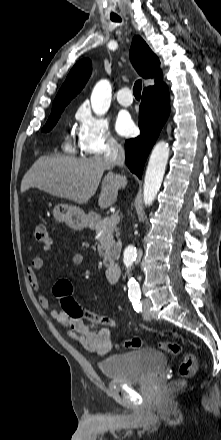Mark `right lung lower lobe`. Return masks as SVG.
<instances>
[{
  "label": "right lung lower lobe",
  "instance_id": "98d812e1",
  "mask_svg": "<svg viewBox=\"0 0 221 440\" xmlns=\"http://www.w3.org/2000/svg\"><path fill=\"white\" fill-rule=\"evenodd\" d=\"M169 115L168 90L165 84L143 91L139 107L137 138L125 142L126 164L141 177L144 163Z\"/></svg>",
  "mask_w": 221,
  "mask_h": 440
}]
</instances>
